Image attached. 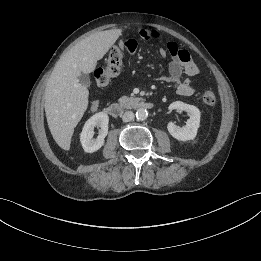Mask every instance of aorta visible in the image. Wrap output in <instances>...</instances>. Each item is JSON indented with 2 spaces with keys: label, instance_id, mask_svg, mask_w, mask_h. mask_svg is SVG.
<instances>
[{
  "label": "aorta",
  "instance_id": "762f6f07",
  "mask_svg": "<svg viewBox=\"0 0 261 261\" xmlns=\"http://www.w3.org/2000/svg\"><path fill=\"white\" fill-rule=\"evenodd\" d=\"M136 118L141 121L146 120L148 118V111L144 108L137 109Z\"/></svg>",
  "mask_w": 261,
  "mask_h": 261
}]
</instances>
